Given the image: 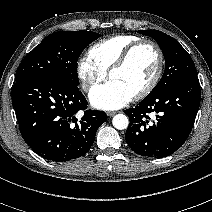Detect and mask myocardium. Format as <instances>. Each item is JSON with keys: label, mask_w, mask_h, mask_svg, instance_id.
Wrapping results in <instances>:
<instances>
[{"label": "myocardium", "mask_w": 212, "mask_h": 212, "mask_svg": "<svg viewBox=\"0 0 212 212\" xmlns=\"http://www.w3.org/2000/svg\"><path fill=\"white\" fill-rule=\"evenodd\" d=\"M142 46H149L155 51L157 55V67L153 77L147 83V85L133 96V99L135 100L145 98L159 83L164 69V55L161 48L151 40H138L125 49L119 59L111 66L108 71V78L110 79L114 72L122 70L128 64L133 53Z\"/></svg>", "instance_id": "obj_1"}]
</instances>
